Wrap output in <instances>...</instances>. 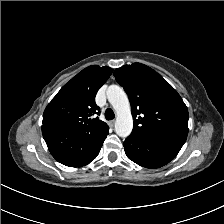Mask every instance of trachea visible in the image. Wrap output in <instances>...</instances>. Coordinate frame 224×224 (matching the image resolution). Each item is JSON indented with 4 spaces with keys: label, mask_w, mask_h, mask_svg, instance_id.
Listing matches in <instances>:
<instances>
[{
    "label": "trachea",
    "mask_w": 224,
    "mask_h": 224,
    "mask_svg": "<svg viewBox=\"0 0 224 224\" xmlns=\"http://www.w3.org/2000/svg\"><path fill=\"white\" fill-rule=\"evenodd\" d=\"M114 117H115V114H114L113 110L110 109V108L106 109V111H105V118L107 120H112V119H114Z\"/></svg>",
    "instance_id": "trachea-1"
}]
</instances>
